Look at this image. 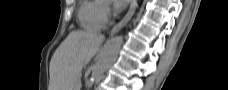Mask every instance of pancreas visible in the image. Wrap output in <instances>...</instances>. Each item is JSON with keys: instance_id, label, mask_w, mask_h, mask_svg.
I'll use <instances>...</instances> for the list:
<instances>
[{"instance_id": "obj_1", "label": "pancreas", "mask_w": 228, "mask_h": 90, "mask_svg": "<svg viewBox=\"0 0 228 90\" xmlns=\"http://www.w3.org/2000/svg\"><path fill=\"white\" fill-rule=\"evenodd\" d=\"M76 86L80 87V80L77 81Z\"/></svg>"}]
</instances>
